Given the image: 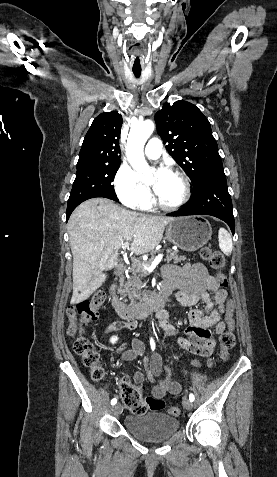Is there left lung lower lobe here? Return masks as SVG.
I'll return each instance as SVG.
<instances>
[{"label": "left lung lower lobe", "instance_id": "left-lung-lower-lobe-1", "mask_svg": "<svg viewBox=\"0 0 277 477\" xmlns=\"http://www.w3.org/2000/svg\"><path fill=\"white\" fill-rule=\"evenodd\" d=\"M211 215L225 221L234 234V216L231 197L227 190L223 166L205 171L193 186L192 200L180 211L168 216Z\"/></svg>", "mask_w": 277, "mask_h": 477}]
</instances>
